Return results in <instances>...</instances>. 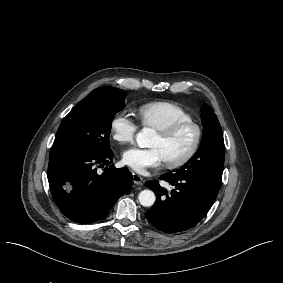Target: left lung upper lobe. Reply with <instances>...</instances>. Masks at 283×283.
<instances>
[{"label":"left lung upper lobe","mask_w":283,"mask_h":283,"mask_svg":"<svg viewBox=\"0 0 283 283\" xmlns=\"http://www.w3.org/2000/svg\"><path fill=\"white\" fill-rule=\"evenodd\" d=\"M201 112L204 128L200 148L183 167L172 174L202 176L220 188L225 155L223 133L217 116L207 104L202 106Z\"/></svg>","instance_id":"1"}]
</instances>
